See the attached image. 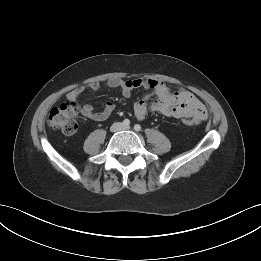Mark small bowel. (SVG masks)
Returning a JSON list of instances; mask_svg holds the SVG:
<instances>
[{
    "instance_id": "small-bowel-1",
    "label": "small bowel",
    "mask_w": 261,
    "mask_h": 261,
    "mask_svg": "<svg viewBox=\"0 0 261 261\" xmlns=\"http://www.w3.org/2000/svg\"><path fill=\"white\" fill-rule=\"evenodd\" d=\"M102 83L93 81L88 88L98 91ZM108 88H119L122 95L130 97L132 91L137 88H144L148 92L140 100L134 103V114L137 119L143 120L149 112H157L167 117L188 118L193 123H199L207 118V111L203 103L190 91L173 88L159 80L150 78L121 79L111 78L104 82ZM84 87H77L67 94V99L73 103L77 110L86 118L94 121L106 120L115 110L113 102H107L102 111L96 112L92 105L78 104V98L83 93ZM155 96L156 100L148 103V100Z\"/></svg>"
}]
</instances>
